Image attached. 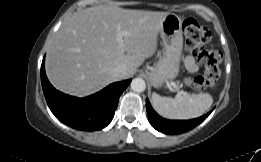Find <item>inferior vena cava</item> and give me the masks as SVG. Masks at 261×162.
<instances>
[{"mask_svg":"<svg viewBox=\"0 0 261 162\" xmlns=\"http://www.w3.org/2000/svg\"><path fill=\"white\" fill-rule=\"evenodd\" d=\"M126 74V67L121 65V66H117L113 69V75L116 78H121Z\"/></svg>","mask_w":261,"mask_h":162,"instance_id":"inferior-vena-cava-1","label":"inferior vena cava"}]
</instances>
